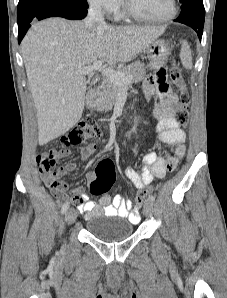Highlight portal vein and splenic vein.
<instances>
[{
	"mask_svg": "<svg viewBox=\"0 0 227 298\" xmlns=\"http://www.w3.org/2000/svg\"><path fill=\"white\" fill-rule=\"evenodd\" d=\"M93 71H101L102 75L107 77L110 81L114 82L115 84L119 86H125L131 83L132 77L128 76L126 77L125 74L115 71L111 68H104L102 67L101 61H96L93 63V65H89L83 68H80L77 70V75H88L92 73Z\"/></svg>",
	"mask_w": 227,
	"mask_h": 298,
	"instance_id": "1",
	"label": "portal vein and splenic vein"
}]
</instances>
